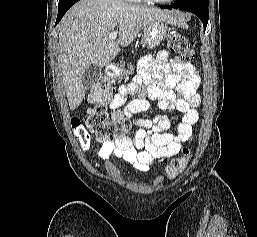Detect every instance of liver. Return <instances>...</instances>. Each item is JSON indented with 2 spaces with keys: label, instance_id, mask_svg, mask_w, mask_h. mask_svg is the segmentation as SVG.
<instances>
[{
  "label": "liver",
  "instance_id": "6515ba94",
  "mask_svg": "<svg viewBox=\"0 0 257 237\" xmlns=\"http://www.w3.org/2000/svg\"><path fill=\"white\" fill-rule=\"evenodd\" d=\"M179 24L180 17L160 9L118 0H80L59 24L60 61L69 107L75 110L85 96L82 77L90 65L109 64L152 20ZM117 32V39L109 34Z\"/></svg>",
  "mask_w": 257,
  "mask_h": 237
}]
</instances>
